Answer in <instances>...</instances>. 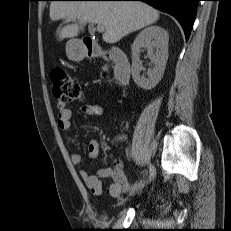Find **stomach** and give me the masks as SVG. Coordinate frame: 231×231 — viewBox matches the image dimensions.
<instances>
[{"label": "stomach", "mask_w": 231, "mask_h": 231, "mask_svg": "<svg viewBox=\"0 0 231 231\" xmlns=\"http://www.w3.org/2000/svg\"><path fill=\"white\" fill-rule=\"evenodd\" d=\"M66 54L72 61H81L85 57V47L81 41L71 39L66 44Z\"/></svg>", "instance_id": "obj_1"}]
</instances>
